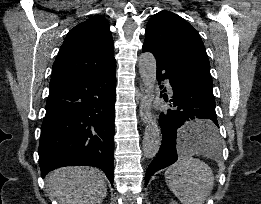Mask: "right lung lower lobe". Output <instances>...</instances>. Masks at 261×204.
<instances>
[{"label": "right lung lower lobe", "mask_w": 261, "mask_h": 204, "mask_svg": "<svg viewBox=\"0 0 261 204\" xmlns=\"http://www.w3.org/2000/svg\"><path fill=\"white\" fill-rule=\"evenodd\" d=\"M115 68L50 86L38 149L42 177L86 165L102 169L113 183Z\"/></svg>", "instance_id": "right-lung-lower-lobe-1"}]
</instances>
